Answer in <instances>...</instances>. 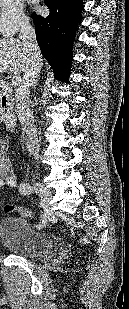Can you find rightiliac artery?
Here are the masks:
<instances>
[{
  "instance_id": "82829eb1",
  "label": "right iliac artery",
  "mask_w": 129,
  "mask_h": 309,
  "mask_svg": "<svg viewBox=\"0 0 129 309\" xmlns=\"http://www.w3.org/2000/svg\"><path fill=\"white\" fill-rule=\"evenodd\" d=\"M19 192L23 195H30L33 192L32 187L29 184H22L19 187ZM46 214L43 215L42 221L45 220Z\"/></svg>"
}]
</instances>
